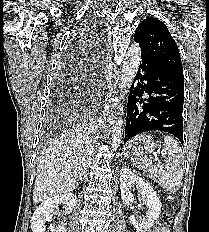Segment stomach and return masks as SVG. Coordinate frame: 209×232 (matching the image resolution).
Instances as JSON below:
<instances>
[{
    "label": "stomach",
    "mask_w": 209,
    "mask_h": 232,
    "mask_svg": "<svg viewBox=\"0 0 209 232\" xmlns=\"http://www.w3.org/2000/svg\"><path fill=\"white\" fill-rule=\"evenodd\" d=\"M156 149L153 138L146 134H141L130 140L124 149L128 157H138L149 155Z\"/></svg>",
    "instance_id": "obj_1"
}]
</instances>
